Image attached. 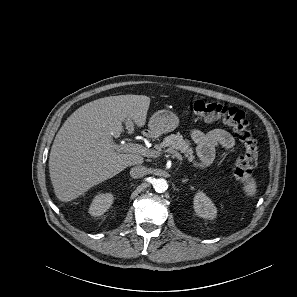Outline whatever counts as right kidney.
Returning <instances> with one entry per match:
<instances>
[{"mask_svg":"<svg viewBox=\"0 0 297 297\" xmlns=\"http://www.w3.org/2000/svg\"><path fill=\"white\" fill-rule=\"evenodd\" d=\"M114 197L111 193H102L95 196L93 199L89 213L93 216L103 215L112 205Z\"/></svg>","mask_w":297,"mask_h":297,"instance_id":"1","label":"right kidney"}]
</instances>
